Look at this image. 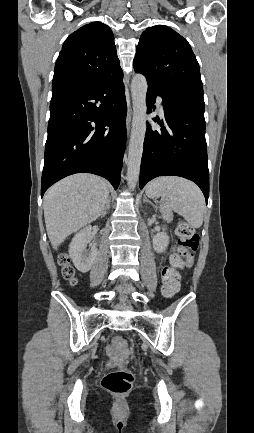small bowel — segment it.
Segmentation results:
<instances>
[{"mask_svg":"<svg viewBox=\"0 0 254 433\" xmlns=\"http://www.w3.org/2000/svg\"><path fill=\"white\" fill-rule=\"evenodd\" d=\"M193 265V258H189L186 262V266L187 267H191ZM163 291H164V286H163Z\"/></svg>","mask_w":254,"mask_h":433,"instance_id":"c3829d8e","label":"small bowel"}]
</instances>
